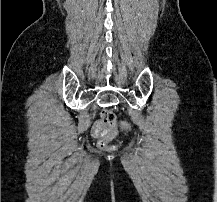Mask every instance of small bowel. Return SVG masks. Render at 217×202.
I'll list each match as a JSON object with an SVG mask.
<instances>
[{
    "mask_svg": "<svg viewBox=\"0 0 217 202\" xmlns=\"http://www.w3.org/2000/svg\"><path fill=\"white\" fill-rule=\"evenodd\" d=\"M108 132H109V129L102 120L98 119L93 123L92 128H91L92 138L100 140L106 137L108 135Z\"/></svg>",
    "mask_w": 217,
    "mask_h": 202,
    "instance_id": "obj_1",
    "label": "small bowel"
}]
</instances>
